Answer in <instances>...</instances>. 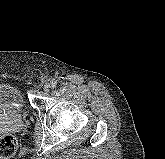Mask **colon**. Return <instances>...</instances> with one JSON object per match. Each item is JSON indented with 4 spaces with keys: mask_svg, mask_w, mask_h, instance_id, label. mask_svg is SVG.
Returning a JSON list of instances; mask_svg holds the SVG:
<instances>
[{
    "mask_svg": "<svg viewBox=\"0 0 165 159\" xmlns=\"http://www.w3.org/2000/svg\"><path fill=\"white\" fill-rule=\"evenodd\" d=\"M18 150V141L12 135L0 136V159L13 156Z\"/></svg>",
    "mask_w": 165,
    "mask_h": 159,
    "instance_id": "obj_1",
    "label": "colon"
}]
</instances>
